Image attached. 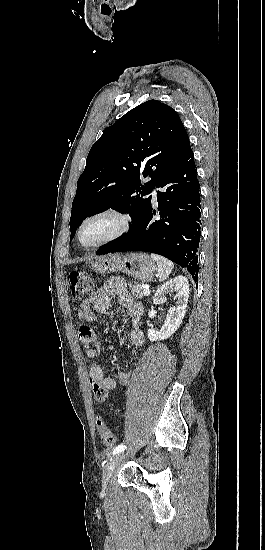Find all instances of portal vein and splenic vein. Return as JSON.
Returning a JSON list of instances; mask_svg holds the SVG:
<instances>
[{
  "instance_id": "portal-vein-and-splenic-vein-1",
  "label": "portal vein and splenic vein",
  "mask_w": 265,
  "mask_h": 550,
  "mask_svg": "<svg viewBox=\"0 0 265 550\" xmlns=\"http://www.w3.org/2000/svg\"><path fill=\"white\" fill-rule=\"evenodd\" d=\"M144 296H149L150 295V290L149 289H144Z\"/></svg>"
}]
</instances>
